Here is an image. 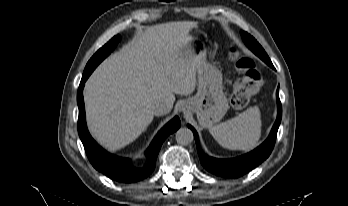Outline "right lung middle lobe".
Masks as SVG:
<instances>
[{
	"label": "right lung middle lobe",
	"instance_id": "obj_1",
	"mask_svg": "<svg viewBox=\"0 0 348 206\" xmlns=\"http://www.w3.org/2000/svg\"><path fill=\"white\" fill-rule=\"evenodd\" d=\"M119 40H120V36L119 35L113 37L108 43H106L102 48H100L94 54V56L89 60V62L92 61L95 58H99V59L101 57L106 58L113 51V49L115 48V46L117 45Z\"/></svg>",
	"mask_w": 348,
	"mask_h": 206
}]
</instances>
